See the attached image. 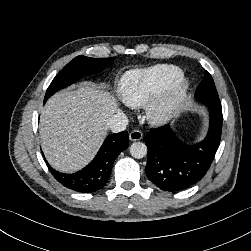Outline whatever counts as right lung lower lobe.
Returning <instances> with one entry per match:
<instances>
[{
    "label": "right lung lower lobe",
    "instance_id": "right-lung-lower-lobe-1",
    "mask_svg": "<svg viewBox=\"0 0 251 251\" xmlns=\"http://www.w3.org/2000/svg\"><path fill=\"white\" fill-rule=\"evenodd\" d=\"M128 143L127 131L108 136L91 163L73 174L60 173L45 162L54 178L66 188L76 192L92 193L105 186L116 157L127 149Z\"/></svg>",
    "mask_w": 251,
    "mask_h": 251
}]
</instances>
